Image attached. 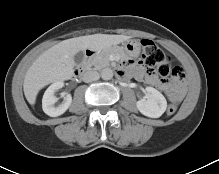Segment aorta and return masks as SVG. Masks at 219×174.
I'll return each mask as SVG.
<instances>
[{
	"label": "aorta",
	"instance_id": "762f6f07",
	"mask_svg": "<svg viewBox=\"0 0 219 174\" xmlns=\"http://www.w3.org/2000/svg\"><path fill=\"white\" fill-rule=\"evenodd\" d=\"M113 77V71L110 68H105L101 71V78L103 80H110Z\"/></svg>",
	"mask_w": 219,
	"mask_h": 174
}]
</instances>
